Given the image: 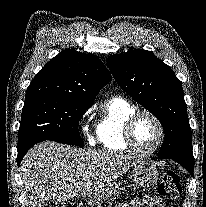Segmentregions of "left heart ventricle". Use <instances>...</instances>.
I'll return each mask as SVG.
<instances>
[{
  "instance_id": "b2bd125f",
  "label": "left heart ventricle",
  "mask_w": 206,
  "mask_h": 207,
  "mask_svg": "<svg viewBox=\"0 0 206 207\" xmlns=\"http://www.w3.org/2000/svg\"><path fill=\"white\" fill-rule=\"evenodd\" d=\"M134 139L136 145L143 149L153 148L159 138V130L155 122L147 117L139 119L134 127Z\"/></svg>"
}]
</instances>
